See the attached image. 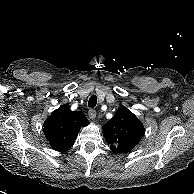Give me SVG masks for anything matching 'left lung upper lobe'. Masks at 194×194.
<instances>
[{
  "label": "left lung upper lobe",
  "instance_id": "obj_1",
  "mask_svg": "<svg viewBox=\"0 0 194 194\" xmlns=\"http://www.w3.org/2000/svg\"><path fill=\"white\" fill-rule=\"evenodd\" d=\"M145 133L143 124L126 107H122L103 126V135L117 153L130 152Z\"/></svg>",
  "mask_w": 194,
  "mask_h": 194
}]
</instances>
